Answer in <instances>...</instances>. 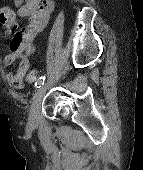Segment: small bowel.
I'll return each instance as SVG.
<instances>
[{"instance_id":"1","label":"small bowel","mask_w":143,"mask_h":170,"mask_svg":"<svg viewBox=\"0 0 143 170\" xmlns=\"http://www.w3.org/2000/svg\"><path fill=\"white\" fill-rule=\"evenodd\" d=\"M14 4L16 10L6 5L0 7V23L9 30H16L17 16L29 17V22L12 37L9 44L10 53L2 58L1 65L16 66L15 70L5 73V78L11 86L22 88L34 52V41L47 25L55 8V1L14 0Z\"/></svg>"}]
</instances>
